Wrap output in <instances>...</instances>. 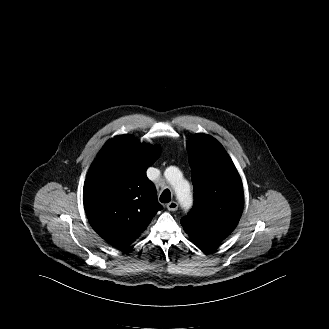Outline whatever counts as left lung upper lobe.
Masks as SVG:
<instances>
[{"instance_id": "1", "label": "left lung upper lobe", "mask_w": 329, "mask_h": 329, "mask_svg": "<svg viewBox=\"0 0 329 329\" xmlns=\"http://www.w3.org/2000/svg\"><path fill=\"white\" fill-rule=\"evenodd\" d=\"M195 204L181 224L198 244L221 241L237 226L244 198L240 176L222 145L206 134L187 142Z\"/></svg>"}]
</instances>
